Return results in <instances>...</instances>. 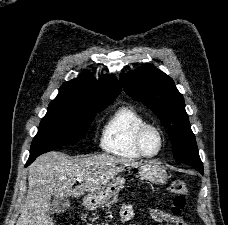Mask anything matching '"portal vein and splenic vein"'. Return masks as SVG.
<instances>
[{
  "mask_svg": "<svg viewBox=\"0 0 228 225\" xmlns=\"http://www.w3.org/2000/svg\"><path fill=\"white\" fill-rule=\"evenodd\" d=\"M74 181H81L80 177H76V179H74Z\"/></svg>",
  "mask_w": 228,
  "mask_h": 225,
  "instance_id": "18ae733b",
  "label": "portal vein and splenic vein"
}]
</instances>
